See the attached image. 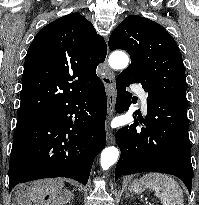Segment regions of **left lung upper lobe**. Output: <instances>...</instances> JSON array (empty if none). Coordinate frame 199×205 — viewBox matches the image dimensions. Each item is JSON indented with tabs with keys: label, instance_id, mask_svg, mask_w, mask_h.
<instances>
[{
	"label": "left lung upper lobe",
	"instance_id": "5c2ea615",
	"mask_svg": "<svg viewBox=\"0 0 199 205\" xmlns=\"http://www.w3.org/2000/svg\"><path fill=\"white\" fill-rule=\"evenodd\" d=\"M109 48L129 53L131 64L122 73L132 69L149 91L188 106L182 55L164 27L141 16H128L111 33Z\"/></svg>",
	"mask_w": 199,
	"mask_h": 205
}]
</instances>
